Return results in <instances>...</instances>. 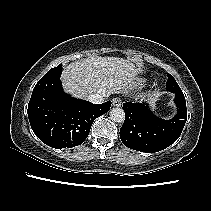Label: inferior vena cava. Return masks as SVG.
Returning a JSON list of instances; mask_svg holds the SVG:
<instances>
[{
	"mask_svg": "<svg viewBox=\"0 0 211 211\" xmlns=\"http://www.w3.org/2000/svg\"><path fill=\"white\" fill-rule=\"evenodd\" d=\"M107 97V95L103 93H96V94H91L87 97V100L95 103V104H101L103 103L104 99Z\"/></svg>",
	"mask_w": 211,
	"mask_h": 211,
	"instance_id": "inferior-vena-cava-1",
	"label": "inferior vena cava"
}]
</instances>
